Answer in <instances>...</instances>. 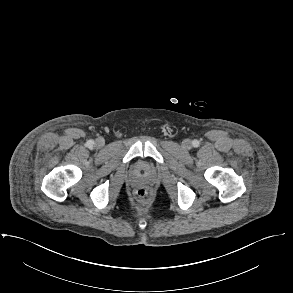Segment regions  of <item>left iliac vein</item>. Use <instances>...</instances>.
Wrapping results in <instances>:
<instances>
[{"label":"left iliac vein","instance_id":"obj_1","mask_svg":"<svg viewBox=\"0 0 293 293\" xmlns=\"http://www.w3.org/2000/svg\"><path fill=\"white\" fill-rule=\"evenodd\" d=\"M191 141L189 139H185L183 141V147L186 148V149H189L191 147Z\"/></svg>","mask_w":293,"mask_h":293}]
</instances>
